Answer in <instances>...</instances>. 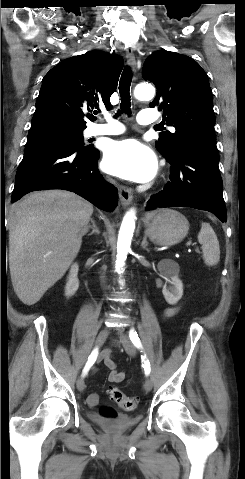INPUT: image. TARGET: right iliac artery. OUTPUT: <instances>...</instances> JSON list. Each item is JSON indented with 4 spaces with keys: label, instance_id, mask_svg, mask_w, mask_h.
Returning <instances> with one entry per match:
<instances>
[{
    "label": "right iliac artery",
    "instance_id": "right-iliac-artery-1",
    "mask_svg": "<svg viewBox=\"0 0 245 479\" xmlns=\"http://www.w3.org/2000/svg\"><path fill=\"white\" fill-rule=\"evenodd\" d=\"M98 356V348L94 349L90 356L88 357V361L83 369L82 375L85 376L89 371L90 367L95 363Z\"/></svg>",
    "mask_w": 245,
    "mask_h": 479
}]
</instances>
